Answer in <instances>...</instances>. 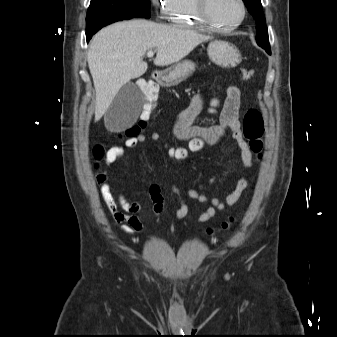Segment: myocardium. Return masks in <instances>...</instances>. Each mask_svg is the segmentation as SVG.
Listing matches in <instances>:
<instances>
[{
    "mask_svg": "<svg viewBox=\"0 0 337 337\" xmlns=\"http://www.w3.org/2000/svg\"><path fill=\"white\" fill-rule=\"evenodd\" d=\"M195 1H196L197 12H198L200 19L206 25H208L211 29L215 31H221V32L232 31L238 28L244 22L246 15H247V6H246L245 1L238 0L241 6V10H242L240 19L231 25H222L218 23L217 21H215L210 13V8H209L210 0H195Z\"/></svg>",
    "mask_w": 337,
    "mask_h": 337,
    "instance_id": "1",
    "label": "myocardium"
}]
</instances>
